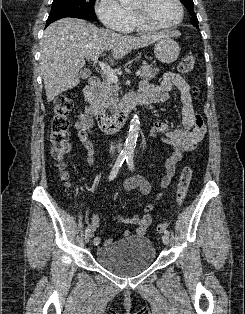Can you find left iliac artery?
I'll list each match as a JSON object with an SVG mask.
<instances>
[{
	"label": "left iliac artery",
	"mask_w": 245,
	"mask_h": 314,
	"mask_svg": "<svg viewBox=\"0 0 245 314\" xmlns=\"http://www.w3.org/2000/svg\"><path fill=\"white\" fill-rule=\"evenodd\" d=\"M126 162H127V165L129 167V169L131 171L134 170V163H133V154H128L127 157H126ZM165 235L169 236L170 235V232L168 230H165Z\"/></svg>",
	"instance_id": "44dca946"
}]
</instances>
